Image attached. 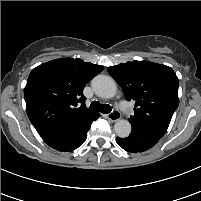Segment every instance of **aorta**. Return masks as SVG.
<instances>
[{
    "label": "aorta",
    "instance_id": "1",
    "mask_svg": "<svg viewBox=\"0 0 201 201\" xmlns=\"http://www.w3.org/2000/svg\"><path fill=\"white\" fill-rule=\"evenodd\" d=\"M93 91L98 97L104 99L113 98L117 93L115 80L106 75L96 76L91 83ZM114 131L120 138H126L131 133V124L128 120L120 119L114 125Z\"/></svg>",
    "mask_w": 201,
    "mask_h": 201
}]
</instances>
